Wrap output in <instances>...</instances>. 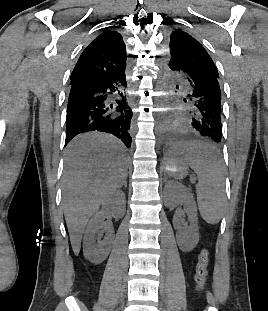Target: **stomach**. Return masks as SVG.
Returning a JSON list of instances; mask_svg holds the SVG:
<instances>
[{
  "mask_svg": "<svg viewBox=\"0 0 268 311\" xmlns=\"http://www.w3.org/2000/svg\"><path fill=\"white\" fill-rule=\"evenodd\" d=\"M190 147H175L171 150L169 158L166 162L168 173L176 179H183L187 175L188 161L190 158L188 149Z\"/></svg>",
  "mask_w": 268,
  "mask_h": 311,
  "instance_id": "obj_1",
  "label": "stomach"
}]
</instances>
